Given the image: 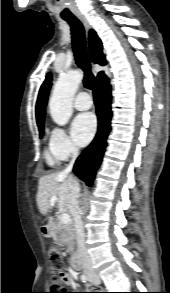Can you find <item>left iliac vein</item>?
<instances>
[{
	"label": "left iliac vein",
	"instance_id": "4c4485c4",
	"mask_svg": "<svg viewBox=\"0 0 170 293\" xmlns=\"http://www.w3.org/2000/svg\"><path fill=\"white\" fill-rule=\"evenodd\" d=\"M88 279L89 281L93 284V285H99L101 283V278L100 276L95 273V272H91L89 275H88Z\"/></svg>",
	"mask_w": 170,
	"mask_h": 293
}]
</instances>
